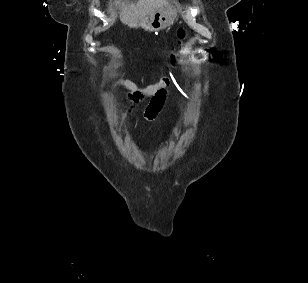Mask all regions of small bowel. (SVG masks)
I'll use <instances>...</instances> for the list:
<instances>
[{
    "label": "small bowel",
    "mask_w": 308,
    "mask_h": 283,
    "mask_svg": "<svg viewBox=\"0 0 308 283\" xmlns=\"http://www.w3.org/2000/svg\"><path fill=\"white\" fill-rule=\"evenodd\" d=\"M116 84L124 88L127 108L123 114L126 120L131 111L145 99L149 98L150 101L145 108L144 118L146 121H154L163 108L166 96L168 83L159 81L157 83L139 86L129 79H117Z\"/></svg>",
    "instance_id": "obj_1"
}]
</instances>
